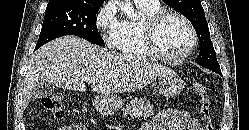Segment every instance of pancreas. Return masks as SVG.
I'll return each instance as SVG.
<instances>
[{"instance_id": "1", "label": "pancreas", "mask_w": 249, "mask_h": 130, "mask_svg": "<svg viewBox=\"0 0 249 130\" xmlns=\"http://www.w3.org/2000/svg\"><path fill=\"white\" fill-rule=\"evenodd\" d=\"M123 116L130 115L137 118H148L150 115H153V106L148 100L143 99H134L125 108L122 109Z\"/></svg>"}]
</instances>
